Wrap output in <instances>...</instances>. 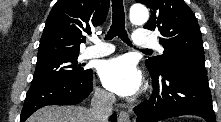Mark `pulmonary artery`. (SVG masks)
<instances>
[{
	"instance_id": "obj_1",
	"label": "pulmonary artery",
	"mask_w": 221,
	"mask_h": 122,
	"mask_svg": "<svg viewBox=\"0 0 221 122\" xmlns=\"http://www.w3.org/2000/svg\"><path fill=\"white\" fill-rule=\"evenodd\" d=\"M90 40L93 45L85 49L82 55L84 58L103 57L111 54L114 51V47L111 44L103 42L97 37H92ZM133 42L135 46L142 49L155 48L162 51V47L159 45L155 36L143 30H138L135 32Z\"/></svg>"
}]
</instances>
